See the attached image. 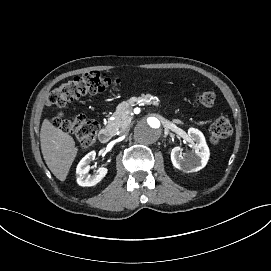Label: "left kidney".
<instances>
[{"label":"left kidney","instance_id":"obj_1","mask_svg":"<svg viewBox=\"0 0 271 271\" xmlns=\"http://www.w3.org/2000/svg\"><path fill=\"white\" fill-rule=\"evenodd\" d=\"M189 137L196 142L194 153L182 156L181 147H174L171 151V161L174 167L184 172H195L205 166L209 160L210 152L205 137L196 128L188 129Z\"/></svg>","mask_w":271,"mask_h":271}]
</instances>
